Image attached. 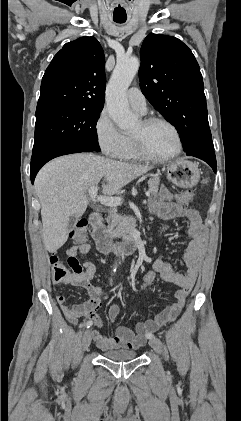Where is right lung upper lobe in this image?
I'll list each match as a JSON object with an SVG mask.
<instances>
[{
	"instance_id": "right-lung-upper-lobe-1",
	"label": "right lung upper lobe",
	"mask_w": 241,
	"mask_h": 421,
	"mask_svg": "<svg viewBox=\"0 0 241 421\" xmlns=\"http://www.w3.org/2000/svg\"><path fill=\"white\" fill-rule=\"evenodd\" d=\"M105 57L94 37L66 43L45 71L37 110L49 107L103 109Z\"/></svg>"
}]
</instances>
